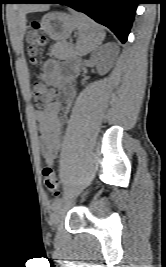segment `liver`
Masks as SVG:
<instances>
[{
	"label": "liver",
	"mask_w": 166,
	"mask_h": 267,
	"mask_svg": "<svg viewBox=\"0 0 166 267\" xmlns=\"http://www.w3.org/2000/svg\"><path fill=\"white\" fill-rule=\"evenodd\" d=\"M49 9V6H24L20 12H19V26H20V29L22 31V34L23 32L25 31V25H26V14L28 12H35V11H44V10H48ZM22 38V36H21Z\"/></svg>",
	"instance_id": "liver-1"
}]
</instances>
